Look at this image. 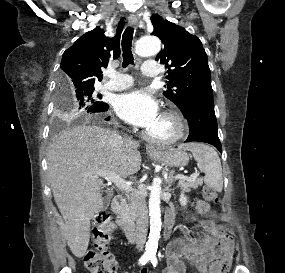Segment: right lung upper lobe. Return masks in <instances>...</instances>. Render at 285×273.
Instances as JSON below:
<instances>
[{"mask_svg":"<svg viewBox=\"0 0 285 273\" xmlns=\"http://www.w3.org/2000/svg\"><path fill=\"white\" fill-rule=\"evenodd\" d=\"M124 23L121 19L113 38L106 37L104 30L97 26L82 35L63 53L61 76L71 88L94 87L95 81L102 79L101 68L107 67L110 59L120 56V35Z\"/></svg>","mask_w":285,"mask_h":273,"instance_id":"1","label":"right lung upper lobe"}]
</instances>
